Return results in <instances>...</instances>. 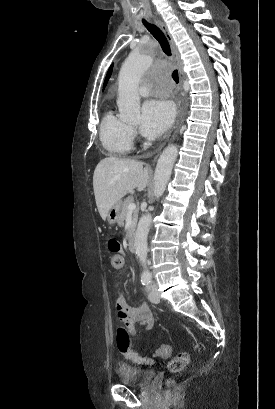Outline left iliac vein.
<instances>
[{
    "label": "left iliac vein",
    "mask_w": 275,
    "mask_h": 409,
    "mask_svg": "<svg viewBox=\"0 0 275 409\" xmlns=\"http://www.w3.org/2000/svg\"><path fill=\"white\" fill-rule=\"evenodd\" d=\"M148 299L151 303H158L160 301V296H159L158 290L155 287V285L151 286V289L148 295Z\"/></svg>",
    "instance_id": "4c4485c4"
}]
</instances>
